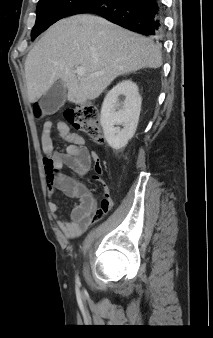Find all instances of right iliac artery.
<instances>
[{
    "mask_svg": "<svg viewBox=\"0 0 213 338\" xmlns=\"http://www.w3.org/2000/svg\"><path fill=\"white\" fill-rule=\"evenodd\" d=\"M76 283H79V277L78 276L76 277Z\"/></svg>",
    "mask_w": 213,
    "mask_h": 338,
    "instance_id": "1",
    "label": "right iliac artery"
}]
</instances>
